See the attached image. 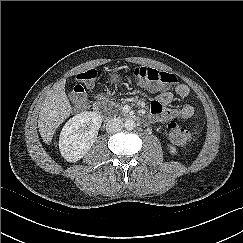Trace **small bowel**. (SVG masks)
I'll use <instances>...</instances> for the list:
<instances>
[{
	"label": "small bowel",
	"mask_w": 243,
	"mask_h": 243,
	"mask_svg": "<svg viewBox=\"0 0 243 243\" xmlns=\"http://www.w3.org/2000/svg\"><path fill=\"white\" fill-rule=\"evenodd\" d=\"M144 87L152 92L157 93L155 99L151 103V117L154 120L171 121L176 119H189L194 114V108L191 105L174 108L170 104L173 101V94L170 91H159L155 86L144 85ZM176 94L181 98H186L189 95V87L185 84H180L175 89Z\"/></svg>",
	"instance_id": "c3829d8e"
}]
</instances>
